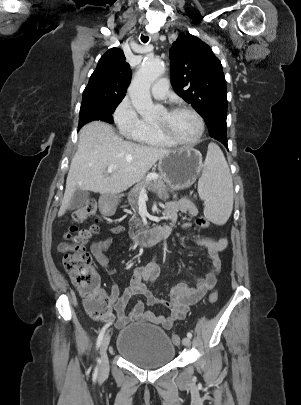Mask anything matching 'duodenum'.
Returning <instances> with one entry per match:
<instances>
[{
  "label": "duodenum",
  "mask_w": 301,
  "mask_h": 405,
  "mask_svg": "<svg viewBox=\"0 0 301 405\" xmlns=\"http://www.w3.org/2000/svg\"><path fill=\"white\" fill-rule=\"evenodd\" d=\"M120 195V192L117 190H107L105 195L99 200V207L101 208L104 219L113 218L118 204L117 198H119ZM173 228L174 222L170 221L166 225L157 226L135 235L134 241L140 246H150L159 242L161 239L168 237L172 233Z\"/></svg>",
  "instance_id": "duodenum-1"
}]
</instances>
